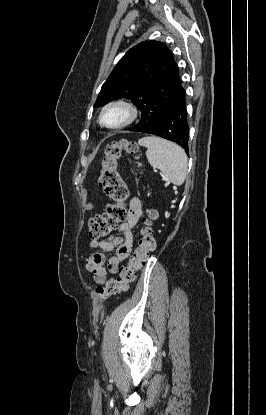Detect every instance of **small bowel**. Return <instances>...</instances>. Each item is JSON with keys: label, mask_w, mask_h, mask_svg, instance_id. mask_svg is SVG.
<instances>
[{"label": "small bowel", "mask_w": 266, "mask_h": 415, "mask_svg": "<svg viewBox=\"0 0 266 415\" xmlns=\"http://www.w3.org/2000/svg\"><path fill=\"white\" fill-rule=\"evenodd\" d=\"M142 215V204L138 197H132L129 202L128 214L125 222L120 224L116 233L107 239L90 241L91 249H100V252L91 254L86 258V270L93 274L97 283H104L108 274L118 272L122 262L129 256L133 245V228ZM116 250L114 256L108 254Z\"/></svg>", "instance_id": "obj_1"}]
</instances>
